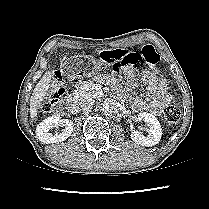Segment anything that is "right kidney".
<instances>
[{
    "label": "right kidney",
    "mask_w": 209,
    "mask_h": 209,
    "mask_svg": "<svg viewBox=\"0 0 209 209\" xmlns=\"http://www.w3.org/2000/svg\"><path fill=\"white\" fill-rule=\"evenodd\" d=\"M63 126V130L59 134H52L50 130ZM74 129V123L69 119H61L58 114L53 115L44 119L36 127V136L37 138L46 144L58 143L65 141L69 136H71Z\"/></svg>",
    "instance_id": "right-kidney-1"
}]
</instances>
